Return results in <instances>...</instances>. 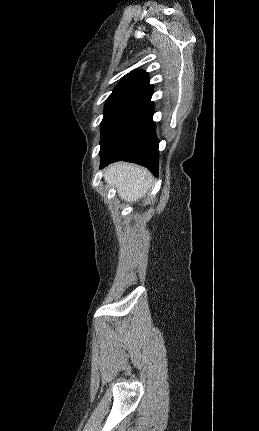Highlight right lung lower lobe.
Returning a JSON list of instances; mask_svg holds the SVG:
<instances>
[{
    "label": "right lung lower lobe",
    "mask_w": 259,
    "mask_h": 431,
    "mask_svg": "<svg viewBox=\"0 0 259 431\" xmlns=\"http://www.w3.org/2000/svg\"><path fill=\"white\" fill-rule=\"evenodd\" d=\"M151 96L133 107L101 143L100 168L115 161L134 162L158 175V144Z\"/></svg>",
    "instance_id": "1"
}]
</instances>
